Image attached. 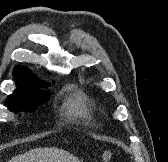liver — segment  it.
<instances>
[{"label": "liver", "mask_w": 168, "mask_h": 162, "mask_svg": "<svg viewBox=\"0 0 168 162\" xmlns=\"http://www.w3.org/2000/svg\"><path fill=\"white\" fill-rule=\"evenodd\" d=\"M8 162H81L68 151L55 147L35 148L13 157Z\"/></svg>", "instance_id": "1"}]
</instances>
